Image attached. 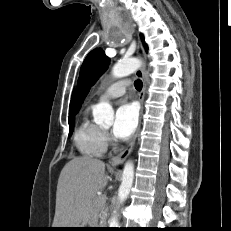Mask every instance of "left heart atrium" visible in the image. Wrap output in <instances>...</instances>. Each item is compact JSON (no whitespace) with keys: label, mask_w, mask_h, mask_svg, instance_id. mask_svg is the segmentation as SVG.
I'll return each instance as SVG.
<instances>
[{"label":"left heart atrium","mask_w":231,"mask_h":231,"mask_svg":"<svg viewBox=\"0 0 231 231\" xmlns=\"http://www.w3.org/2000/svg\"><path fill=\"white\" fill-rule=\"evenodd\" d=\"M138 124V110L132 103H122L115 114L112 133L117 139H126L132 135Z\"/></svg>","instance_id":"obj_1"}]
</instances>
